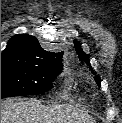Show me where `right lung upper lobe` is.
Masks as SVG:
<instances>
[{"instance_id": "1", "label": "right lung upper lobe", "mask_w": 122, "mask_h": 123, "mask_svg": "<svg viewBox=\"0 0 122 123\" xmlns=\"http://www.w3.org/2000/svg\"><path fill=\"white\" fill-rule=\"evenodd\" d=\"M62 52L44 50L37 38L28 34H18L10 38L1 59L20 60L36 64L60 65Z\"/></svg>"}]
</instances>
